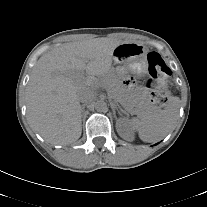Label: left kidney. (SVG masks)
<instances>
[{
  "label": "left kidney",
  "mask_w": 207,
  "mask_h": 207,
  "mask_svg": "<svg viewBox=\"0 0 207 207\" xmlns=\"http://www.w3.org/2000/svg\"><path fill=\"white\" fill-rule=\"evenodd\" d=\"M117 131L119 135L126 140H131L133 138L132 130L129 126L128 120L121 118L116 123Z\"/></svg>",
  "instance_id": "obj_1"
}]
</instances>
